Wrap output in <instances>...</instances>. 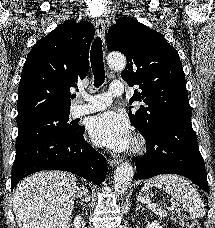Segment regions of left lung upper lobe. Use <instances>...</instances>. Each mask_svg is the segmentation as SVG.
Returning a JSON list of instances; mask_svg holds the SVG:
<instances>
[{
	"mask_svg": "<svg viewBox=\"0 0 215 228\" xmlns=\"http://www.w3.org/2000/svg\"><path fill=\"white\" fill-rule=\"evenodd\" d=\"M109 51L127 59L121 77L139 85L134 101L144 106L128 113L136 129L147 138L161 122L191 119L185 75L176 49L160 33L129 17L120 18L107 34Z\"/></svg>",
	"mask_w": 215,
	"mask_h": 228,
	"instance_id": "obj_1",
	"label": "left lung upper lobe"
}]
</instances>
